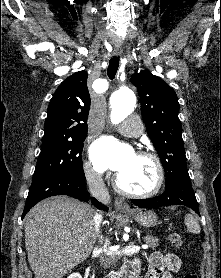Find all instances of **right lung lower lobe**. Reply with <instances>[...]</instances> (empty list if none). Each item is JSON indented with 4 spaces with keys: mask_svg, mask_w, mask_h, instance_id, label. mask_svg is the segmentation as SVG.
<instances>
[{
    "mask_svg": "<svg viewBox=\"0 0 221 278\" xmlns=\"http://www.w3.org/2000/svg\"><path fill=\"white\" fill-rule=\"evenodd\" d=\"M55 195H68L82 201L89 200V193L86 189L85 175L76 177L72 175H59L47 179L29 189L26 205L23 211L24 215L39 201ZM96 208L108 211V207L91 198Z\"/></svg>",
    "mask_w": 221,
    "mask_h": 278,
    "instance_id": "98d812e1",
    "label": "right lung lower lobe"
}]
</instances>
